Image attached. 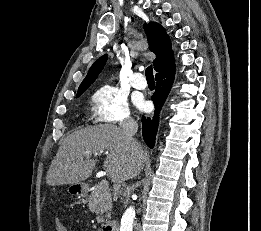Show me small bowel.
Listing matches in <instances>:
<instances>
[{"mask_svg": "<svg viewBox=\"0 0 261 231\" xmlns=\"http://www.w3.org/2000/svg\"><path fill=\"white\" fill-rule=\"evenodd\" d=\"M56 229L57 231H68L66 226L60 219H56Z\"/></svg>", "mask_w": 261, "mask_h": 231, "instance_id": "1", "label": "small bowel"}]
</instances>
